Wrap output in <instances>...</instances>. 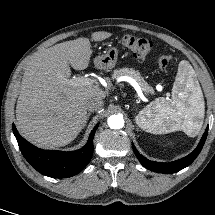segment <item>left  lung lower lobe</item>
Returning a JSON list of instances; mask_svg holds the SVG:
<instances>
[{
    "label": "left lung lower lobe",
    "instance_id": "obj_1",
    "mask_svg": "<svg viewBox=\"0 0 215 215\" xmlns=\"http://www.w3.org/2000/svg\"><path fill=\"white\" fill-rule=\"evenodd\" d=\"M207 134H208V128L206 129L205 133L203 134V137L201 138L198 146L192 153H190L188 156H186L184 158H181L179 160H176V161H173L170 163H160V162L150 161L147 158H145L144 156H142L141 154H139V152L136 150V148L134 146H133V150H134L136 157L140 161V163L148 170H151L154 172H159V173H169V174L176 173V172L182 170L183 168L189 166L196 159V157L199 155V153L201 152V150L203 148Z\"/></svg>",
    "mask_w": 215,
    "mask_h": 215
}]
</instances>
